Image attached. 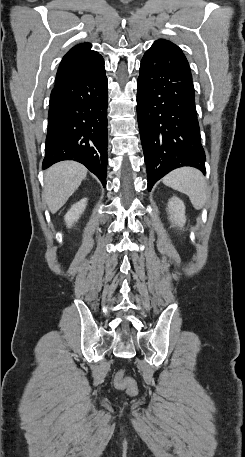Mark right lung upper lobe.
<instances>
[{"label":"right lung upper lobe","mask_w":245,"mask_h":457,"mask_svg":"<svg viewBox=\"0 0 245 457\" xmlns=\"http://www.w3.org/2000/svg\"><path fill=\"white\" fill-rule=\"evenodd\" d=\"M91 46L90 43H81L67 52L58 68L55 84L104 68L102 56L91 50Z\"/></svg>","instance_id":"right-lung-upper-lobe-1"}]
</instances>
